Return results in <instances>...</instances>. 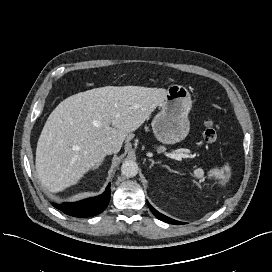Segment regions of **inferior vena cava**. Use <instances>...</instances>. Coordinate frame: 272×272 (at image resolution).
<instances>
[{"label":"inferior vena cava","mask_w":272,"mask_h":272,"mask_svg":"<svg viewBox=\"0 0 272 272\" xmlns=\"http://www.w3.org/2000/svg\"><path fill=\"white\" fill-rule=\"evenodd\" d=\"M102 150L105 154H108V155L118 152V148H117L116 144L111 143V142L104 143L102 145Z\"/></svg>","instance_id":"inferior-vena-cava-1"}]
</instances>
